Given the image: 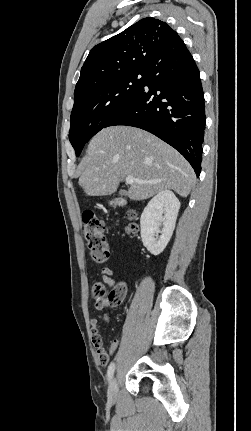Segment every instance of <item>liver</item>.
Wrapping results in <instances>:
<instances>
[{"mask_svg": "<svg viewBox=\"0 0 251 431\" xmlns=\"http://www.w3.org/2000/svg\"><path fill=\"white\" fill-rule=\"evenodd\" d=\"M127 176L152 182L131 184L127 195L134 201L168 189L187 197L195 182L187 160L156 136L129 126L102 129L88 145L79 185L88 196H107Z\"/></svg>", "mask_w": 251, "mask_h": 431, "instance_id": "obj_1", "label": "liver"}]
</instances>
